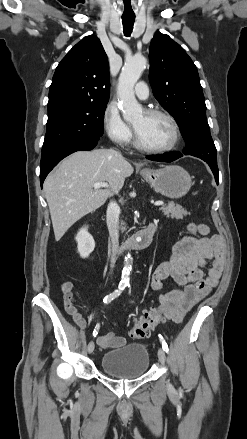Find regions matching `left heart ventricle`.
Here are the masks:
<instances>
[{"label": "left heart ventricle", "mask_w": 247, "mask_h": 439, "mask_svg": "<svg viewBox=\"0 0 247 439\" xmlns=\"http://www.w3.org/2000/svg\"><path fill=\"white\" fill-rule=\"evenodd\" d=\"M141 141L149 147L159 148L170 144L173 131L169 121L162 116H147L142 113L134 122Z\"/></svg>", "instance_id": "left-heart-ventricle-1"}]
</instances>
